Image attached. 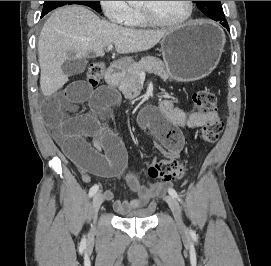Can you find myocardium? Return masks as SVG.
Instances as JSON below:
<instances>
[{"label":"myocardium","instance_id":"myocardium-1","mask_svg":"<svg viewBox=\"0 0 271 266\" xmlns=\"http://www.w3.org/2000/svg\"><path fill=\"white\" fill-rule=\"evenodd\" d=\"M187 5H188L187 14L185 15V17H183L182 19H180L178 21H167V20L160 19L150 9L145 8V7L139 6V10H140L141 14L143 15V17L150 24L174 28V27H181V26L187 24L192 19L193 13H194V3H193V1H187Z\"/></svg>","mask_w":271,"mask_h":266}]
</instances>
